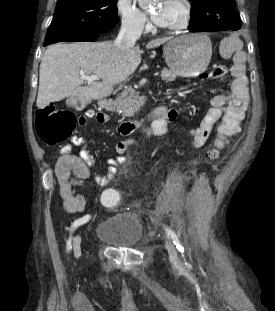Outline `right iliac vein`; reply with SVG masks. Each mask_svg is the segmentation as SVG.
I'll return each instance as SVG.
<instances>
[{"label":"right iliac vein","mask_w":275,"mask_h":311,"mask_svg":"<svg viewBox=\"0 0 275 311\" xmlns=\"http://www.w3.org/2000/svg\"><path fill=\"white\" fill-rule=\"evenodd\" d=\"M80 244H81V237L77 235L73 242L74 254L75 256L80 255Z\"/></svg>","instance_id":"63e3f726"}]
</instances>
